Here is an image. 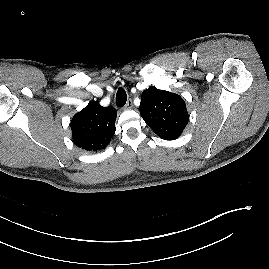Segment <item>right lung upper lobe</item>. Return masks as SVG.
Here are the masks:
<instances>
[{"instance_id": "right-lung-upper-lobe-1", "label": "right lung upper lobe", "mask_w": 269, "mask_h": 269, "mask_svg": "<svg viewBox=\"0 0 269 269\" xmlns=\"http://www.w3.org/2000/svg\"><path fill=\"white\" fill-rule=\"evenodd\" d=\"M116 116L117 112L112 107L90 102L71 120L73 142L89 151L105 148L115 133Z\"/></svg>"}]
</instances>
